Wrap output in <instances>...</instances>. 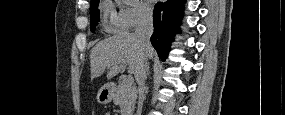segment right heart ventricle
<instances>
[{"instance_id": "1", "label": "right heart ventricle", "mask_w": 285, "mask_h": 115, "mask_svg": "<svg viewBox=\"0 0 285 115\" xmlns=\"http://www.w3.org/2000/svg\"><path fill=\"white\" fill-rule=\"evenodd\" d=\"M103 27L108 32H114L122 28L120 16L110 3L103 6Z\"/></svg>"}]
</instances>
